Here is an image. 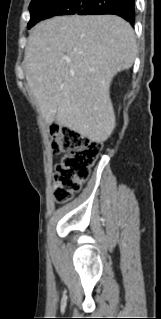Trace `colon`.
<instances>
[{"label": "colon", "instance_id": "1", "mask_svg": "<svg viewBox=\"0 0 161 319\" xmlns=\"http://www.w3.org/2000/svg\"><path fill=\"white\" fill-rule=\"evenodd\" d=\"M52 148L64 153L61 162L55 168V200L65 203L80 190L90 174V169L101 149V143L65 127H50Z\"/></svg>", "mask_w": 161, "mask_h": 319}]
</instances>
